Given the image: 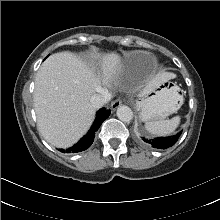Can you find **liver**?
<instances>
[{
    "label": "liver",
    "instance_id": "obj_1",
    "mask_svg": "<svg viewBox=\"0 0 220 220\" xmlns=\"http://www.w3.org/2000/svg\"><path fill=\"white\" fill-rule=\"evenodd\" d=\"M102 75L94 67L70 52L50 55L40 66L34 88V109L37 125L43 137L58 148L76 143L90 127L95 108L90 99L109 85L121 69V57L111 52L98 55ZM173 78L172 74L156 76L144 93L159 83Z\"/></svg>",
    "mask_w": 220,
    "mask_h": 220
}]
</instances>
